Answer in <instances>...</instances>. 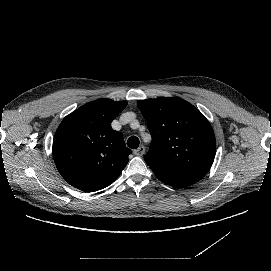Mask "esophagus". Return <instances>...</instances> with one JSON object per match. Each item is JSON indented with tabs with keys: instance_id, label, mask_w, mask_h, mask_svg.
<instances>
[{
	"instance_id": "obj_1",
	"label": "esophagus",
	"mask_w": 271,
	"mask_h": 271,
	"mask_svg": "<svg viewBox=\"0 0 271 271\" xmlns=\"http://www.w3.org/2000/svg\"><path fill=\"white\" fill-rule=\"evenodd\" d=\"M134 155L140 157L143 156V154L145 153V147L143 145H141L140 147H138L137 149H135L133 151Z\"/></svg>"
}]
</instances>
